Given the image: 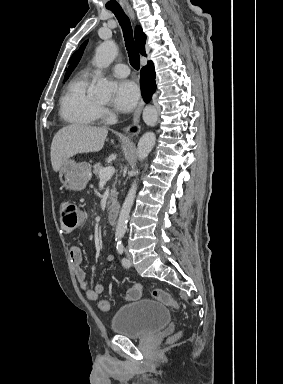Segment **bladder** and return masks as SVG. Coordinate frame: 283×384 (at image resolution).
<instances>
[{
    "label": "bladder",
    "instance_id": "bladder-1",
    "mask_svg": "<svg viewBox=\"0 0 283 384\" xmlns=\"http://www.w3.org/2000/svg\"><path fill=\"white\" fill-rule=\"evenodd\" d=\"M169 320L165 304L142 298L118 308L112 317L111 328L118 336L144 338L165 327Z\"/></svg>",
    "mask_w": 283,
    "mask_h": 384
}]
</instances>
